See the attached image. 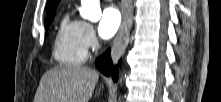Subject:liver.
I'll list each match as a JSON object with an SVG mask.
<instances>
[{
    "instance_id": "obj_1",
    "label": "liver",
    "mask_w": 221,
    "mask_h": 102,
    "mask_svg": "<svg viewBox=\"0 0 221 102\" xmlns=\"http://www.w3.org/2000/svg\"><path fill=\"white\" fill-rule=\"evenodd\" d=\"M98 78L88 67L53 68L42 76L34 102H88Z\"/></svg>"
}]
</instances>
